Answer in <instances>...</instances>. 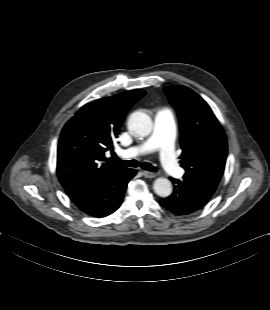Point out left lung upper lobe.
Instances as JSON below:
<instances>
[{
    "mask_svg": "<svg viewBox=\"0 0 270 310\" xmlns=\"http://www.w3.org/2000/svg\"><path fill=\"white\" fill-rule=\"evenodd\" d=\"M181 127V166L186 176L219 183L225 168L227 140L209 105L193 90L164 88Z\"/></svg>",
    "mask_w": 270,
    "mask_h": 310,
    "instance_id": "obj_1",
    "label": "left lung upper lobe"
}]
</instances>
